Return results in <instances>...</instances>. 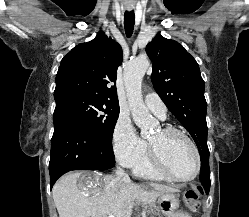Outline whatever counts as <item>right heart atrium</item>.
<instances>
[{
    "instance_id": "1",
    "label": "right heart atrium",
    "mask_w": 249,
    "mask_h": 217,
    "mask_svg": "<svg viewBox=\"0 0 249 217\" xmlns=\"http://www.w3.org/2000/svg\"><path fill=\"white\" fill-rule=\"evenodd\" d=\"M116 158L124 166H133L145 153L146 143L137 137L128 118L120 116L112 134Z\"/></svg>"
}]
</instances>
